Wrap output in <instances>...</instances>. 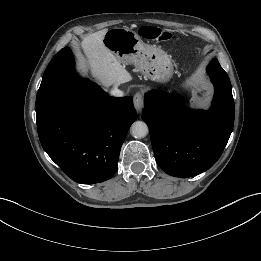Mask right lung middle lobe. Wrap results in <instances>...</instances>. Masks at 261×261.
Wrapping results in <instances>:
<instances>
[{"instance_id":"dd1d6c3e","label":"right lung middle lobe","mask_w":261,"mask_h":261,"mask_svg":"<svg viewBox=\"0 0 261 261\" xmlns=\"http://www.w3.org/2000/svg\"><path fill=\"white\" fill-rule=\"evenodd\" d=\"M73 69L74 58L71 50L68 47L63 48L53 57L47 66L36 99L43 96L64 75L70 73Z\"/></svg>"}]
</instances>
